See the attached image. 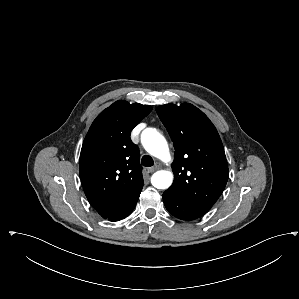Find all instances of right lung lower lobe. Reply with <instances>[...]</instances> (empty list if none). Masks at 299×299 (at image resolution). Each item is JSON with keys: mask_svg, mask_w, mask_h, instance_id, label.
<instances>
[{"mask_svg": "<svg viewBox=\"0 0 299 299\" xmlns=\"http://www.w3.org/2000/svg\"><path fill=\"white\" fill-rule=\"evenodd\" d=\"M139 195H137L132 201H130L122 209H120L115 214L111 215L110 217H108L106 219L114 222V221H119V220L124 219L125 217H127L133 211V209L135 208L136 203H137L138 198H139Z\"/></svg>", "mask_w": 299, "mask_h": 299, "instance_id": "obj_1", "label": "right lung lower lobe"}]
</instances>
